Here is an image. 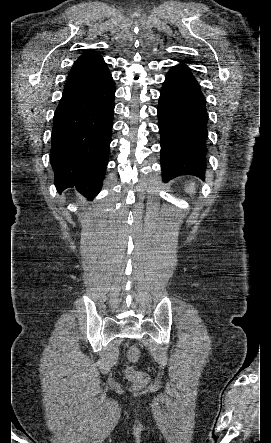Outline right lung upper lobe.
Masks as SVG:
<instances>
[{
    "label": "right lung upper lobe",
    "mask_w": 271,
    "mask_h": 443,
    "mask_svg": "<svg viewBox=\"0 0 271 443\" xmlns=\"http://www.w3.org/2000/svg\"><path fill=\"white\" fill-rule=\"evenodd\" d=\"M112 78L106 63L99 53L85 51L74 63L65 88L89 86Z\"/></svg>",
    "instance_id": "obj_1"
}]
</instances>
